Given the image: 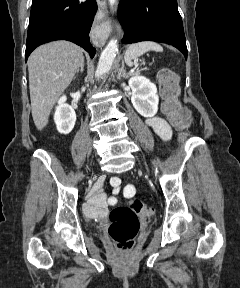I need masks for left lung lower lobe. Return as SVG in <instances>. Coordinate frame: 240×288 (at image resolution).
Instances as JSON below:
<instances>
[{
	"label": "left lung lower lobe",
	"instance_id": "obj_1",
	"mask_svg": "<svg viewBox=\"0 0 240 288\" xmlns=\"http://www.w3.org/2000/svg\"><path fill=\"white\" fill-rule=\"evenodd\" d=\"M118 17L124 29L123 43L163 42L178 48L187 59L177 0H120Z\"/></svg>",
	"mask_w": 240,
	"mask_h": 288
}]
</instances>
